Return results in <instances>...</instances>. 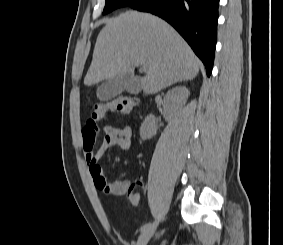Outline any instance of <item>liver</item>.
Here are the masks:
<instances>
[{
    "instance_id": "liver-1",
    "label": "liver",
    "mask_w": 283,
    "mask_h": 245,
    "mask_svg": "<svg viewBox=\"0 0 283 245\" xmlns=\"http://www.w3.org/2000/svg\"><path fill=\"white\" fill-rule=\"evenodd\" d=\"M142 65L145 94L194 79L200 61L184 39L165 21L148 13L127 11L106 21L100 31L84 84L91 86Z\"/></svg>"
}]
</instances>
